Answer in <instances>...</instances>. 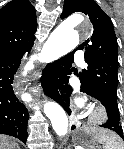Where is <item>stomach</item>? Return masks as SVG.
I'll use <instances>...</instances> for the list:
<instances>
[{
    "label": "stomach",
    "mask_w": 124,
    "mask_h": 149,
    "mask_svg": "<svg viewBox=\"0 0 124 149\" xmlns=\"http://www.w3.org/2000/svg\"><path fill=\"white\" fill-rule=\"evenodd\" d=\"M101 137L113 138L116 136L107 130L79 128L73 135V141L76 145L84 147L83 149H99L98 145L103 144L100 141Z\"/></svg>",
    "instance_id": "obj_1"
}]
</instances>
